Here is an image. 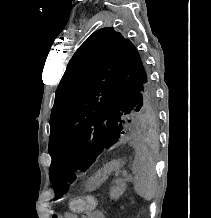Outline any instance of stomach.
<instances>
[{
    "instance_id": "obj_1",
    "label": "stomach",
    "mask_w": 211,
    "mask_h": 218,
    "mask_svg": "<svg viewBox=\"0 0 211 218\" xmlns=\"http://www.w3.org/2000/svg\"><path fill=\"white\" fill-rule=\"evenodd\" d=\"M122 165L121 160H113L101 168L94 176L90 177L86 183L88 190H94L99 187L108 176L115 170L119 169Z\"/></svg>"
}]
</instances>
